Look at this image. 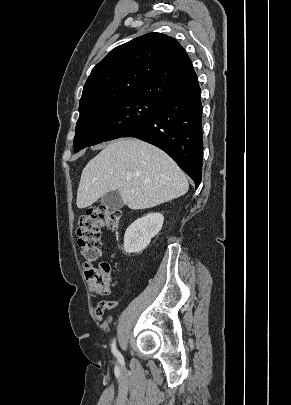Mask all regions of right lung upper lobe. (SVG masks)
I'll list each match as a JSON object with an SVG mask.
<instances>
[{
	"mask_svg": "<svg viewBox=\"0 0 291 405\" xmlns=\"http://www.w3.org/2000/svg\"><path fill=\"white\" fill-rule=\"evenodd\" d=\"M196 81L185 49L172 37L149 33L114 48L93 68L79 109L134 97L161 101Z\"/></svg>",
	"mask_w": 291,
	"mask_h": 405,
	"instance_id": "right-lung-upper-lobe-1",
	"label": "right lung upper lobe"
}]
</instances>
